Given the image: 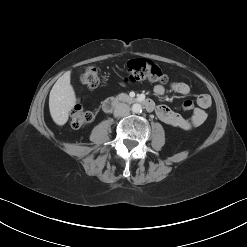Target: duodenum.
I'll use <instances>...</instances> for the list:
<instances>
[{
	"instance_id": "1",
	"label": "duodenum",
	"mask_w": 247,
	"mask_h": 247,
	"mask_svg": "<svg viewBox=\"0 0 247 247\" xmlns=\"http://www.w3.org/2000/svg\"><path fill=\"white\" fill-rule=\"evenodd\" d=\"M127 101L129 103H136L144 106L147 111H154L156 106L152 99L149 98H129L123 95H118L115 97H110L106 99L103 103V110L105 112L112 111L120 102Z\"/></svg>"
}]
</instances>
